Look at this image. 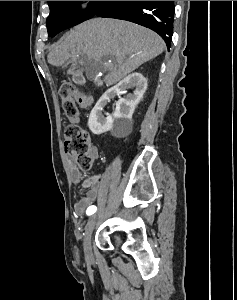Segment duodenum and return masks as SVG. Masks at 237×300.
Here are the masks:
<instances>
[{
    "instance_id": "obj_1",
    "label": "duodenum",
    "mask_w": 237,
    "mask_h": 300,
    "mask_svg": "<svg viewBox=\"0 0 237 300\" xmlns=\"http://www.w3.org/2000/svg\"><path fill=\"white\" fill-rule=\"evenodd\" d=\"M76 80H77V82H81V78L80 77H77Z\"/></svg>"
}]
</instances>
